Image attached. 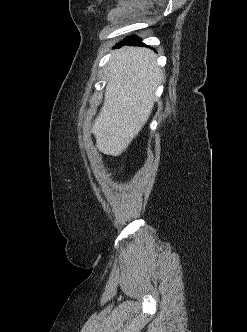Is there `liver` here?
<instances>
[{"instance_id":"1","label":"liver","mask_w":247,"mask_h":332,"mask_svg":"<svg viewBox=\"0 0 247 332\" xmlns=\"http://www.w3.org/2000/svg\"><path fill=\"white\" fill-rule=\"evenodd\" d=\"M155 59L150 49L123 47L109 61L104 104L91 128L103 153L121 155L147 122L163 78Z\"/></svg>"}]
</instances>
